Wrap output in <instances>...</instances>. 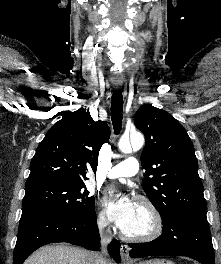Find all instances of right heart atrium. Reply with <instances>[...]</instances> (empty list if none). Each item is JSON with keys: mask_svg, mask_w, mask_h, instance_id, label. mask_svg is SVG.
Returning <instances> with one entry per match:
<instances>
[{"mask_svg": "<svg viewBox=\"0 0 221 264\" xmlns=\"http://www.w3.org/2000/svg\"><path fill=\"white\" fill-rule=\"evenodd\" d=\"M96 223H97V226L102 230H106L109 227V222L103 212H99L97 214Z\"/></svg>", "mask_w": 221, "mask_h": 264, "instance_id": "d8ad5b80", "label": "right heart atrium"}]
</instances>
